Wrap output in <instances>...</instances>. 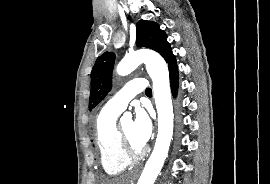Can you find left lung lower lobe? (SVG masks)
Instances as JSON below:
<instances>
[{
	"label": "left lung lower lobe",
	"instance_id": "obj_1",
	"mask_svg": "<svg viewBox=\"0 0 270 184\" xmlns=\"http://www.w3.org/2000/svg\"><path fill=\"white\" fill-rule=\"evenodd\" d=\"M167 63H168V68H169L170 85L172 89V94L174 97H176L177 91H178L179 73H178V67H177L175 56L172 55L170 59L167 61Z\"/></svg>",
	"mask_w": 270,
	"mask_h": 184
}]
</instances>
